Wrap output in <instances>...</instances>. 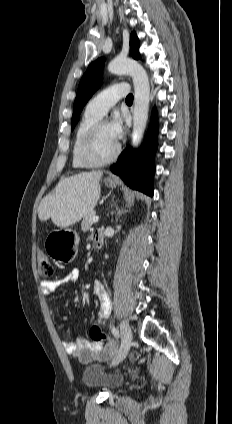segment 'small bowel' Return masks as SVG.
I'll use <instances>...</instances> for the list:
<instances>
[{
    "label": "small bowel",
    "instance_id": "small-bowel-1",
    "mask_svg": "<svg viewBox=\"0 0 232 424\" xmlns=\"http://www.w3.org/2000/svg\"><path fill=\"white\" fill-rule=\"evenodd\" d=\"M101 234L99 231L95 234L94 239L97 235ZM80 271L78 269H72L65 276L58 280H46L41 283L42 292L45 295L52 294L57 287L64 284H73L78 281ZM93 293L99 299L102 314H100V321L104 318L103 309L110 304L109 295L100 281H96L93 285ZM112 341V340H111ZM63 346L66 352L82 363H90L96 360L105 361L113 358L117 353V345L115 348H110L109 344L102 345L85 338H79L75 341L64 339Z\"/></svg>",
    "mask_w": 232,
    "mask_h": 424
}]
</instances>
